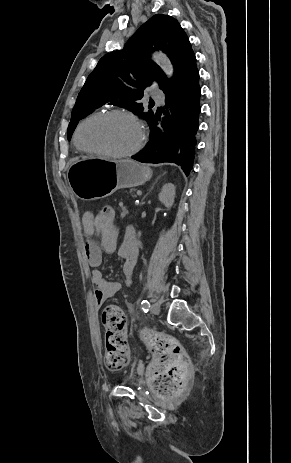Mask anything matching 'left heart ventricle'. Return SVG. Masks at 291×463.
Returning <instances> with one entry per match:
<instances>
[{"label": "left heart ventricle", "instance_id": "1", "mask_svg": "<svg viewBox=\"0 0 291 463\" xmlns=\"http://www.w3.org/2000/svg\"><path fill=\"white\" fill-rule=\"evenodd\" d=\"M138 140V130L128 118L120 115L96 117L81 129L80 141L90 148L127 151Z\"/></svg>", "mask_w": 291, "mask_h": 463}]
</instances>
